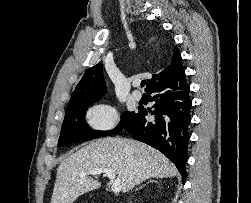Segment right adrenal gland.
Wrapping results in <instances>:
<instances>
[{
    "label": "right adrenal gland",
    "mask_w": 251,
    "mask_h": 203,
    "mask_svg": "<svg viewBox=\"0 0 251 203\" xmlns=\"http://www.w3.org/2000/svg\"><path fill=\"white\" fill-rule=\"evenodd\" d=\"M150 182H157V181H156V180H150V181L147 182V184H149ZM144 185H145V184L141 185V186L139 187V189L142 188V186H144ZM136 190H138V189H136Z\"/></svg>",
    "instance_id": "2a0ac1e0"
}]
</instances>
